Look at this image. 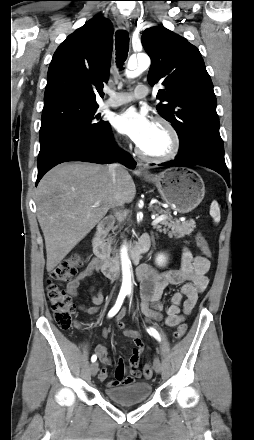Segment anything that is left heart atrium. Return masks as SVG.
<instances>
[{"mask_svg": "<svg viewBox=\"0 0 254 440\" xmlns=\"http://www.w3.org/2000/svg\"><path fill=\"white\" fill-rule=\"evenodd\" d=\"M113 126L139 147L150 135L154 122L144 111L130 107L114 116Z\"/></svg>", "mask_w": 254, "mask_h": 440, "instance_id": "left-heart-atrium-1", "label": "left heart atrium"}]
</instances>
